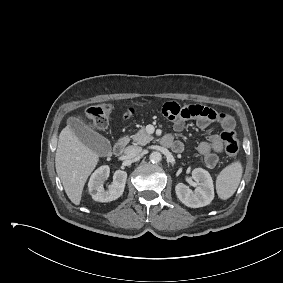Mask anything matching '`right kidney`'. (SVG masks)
<instances>
[{
    "label": "right kidney",
    "mask_w": 283,
    "mask_h": 283,
    "mask_svg": "<svg viewBox=\"0 0 283 283\" xmlns=\"http://www.w3.org/2000/svg\"><path fill=\"white\" fill-rule=\"evenodd\" d=\"M110 168L108 165L99 167L90 177L88 188L90 195L95 201L110 202L119 198L125 188L127 173L117 170L113 175V182L104 190L103 184L108 179Z\"/></svg>",
    "instance_id": "obj_1"
}]
</instances>
